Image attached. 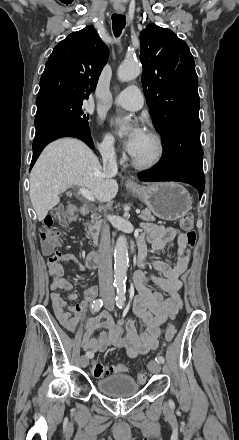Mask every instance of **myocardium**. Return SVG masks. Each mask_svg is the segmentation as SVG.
I'll list each match as a JSON object with an SVG mask.
<instances>
[{"mask_svg":"<svg viewBox=\"0 0 239 440\" xmlns=\"http://www.w3.org/2000/svg\"><path fill=\"white\" fill-rule=\"evenodd\" d=\"M147 133L152 137L156 144L157 152L154 158L150 161H144L134 155H131L132 165L135 168L143 171H149L158 167L166 154V145L162 136L155 130H149Z\"/></svg>","mask_w":239,"mask_h":440,"instance_id":"f54148a6","label":"myocardium"}]
</instances>
